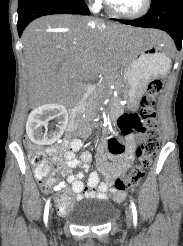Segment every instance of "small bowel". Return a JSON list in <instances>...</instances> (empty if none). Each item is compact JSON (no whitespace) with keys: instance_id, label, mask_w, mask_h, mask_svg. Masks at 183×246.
I'll list each match as a JSON object with an SVG mask.
<instances>
[{"instance_id":"small-bowel-1","label":"small bowel","mask_w":183,"mask_h":246,"mask_svg":"<svg viewBox=\"0 0 183 246\" xmlns=\"http://www.w3.org/2000/svg\"><path fill=\"white\" fill-rule=\"evenodd\" d=\"M140 139L138 134H130L123 137L121 143H125L126 152L124 155H110L108 143L102 142L97 148L98 169L92 171L88 176L86 184L82 179L85 172L89 171L91 163V154L88 151L81 153L79 158L75 157V153L80 151L83 147V141L79 138H74L71 141H63L57 147L47 149V153L51 156L54 162H59L63 154L65 161L59 164V172L66 177L67 182L71 186V191L75 194L76 200H83L84 198L106 199L107 192L115 194L117 190L114 187H109L107 181H101L103 175L107 180H115L117 177H122L131 166L135 147ZM79 168L80 171L76 174H71L73 169ZM54 182V178L50 180L48 185ZM66 183L61 182L55 185L56 191H63L60 197L63 201H68L69 206L62 214H66L73 203L69 193L65 192Z\"/></svg>"}]
</instances>
